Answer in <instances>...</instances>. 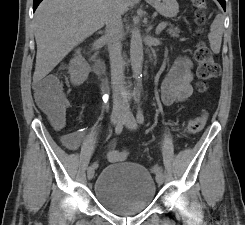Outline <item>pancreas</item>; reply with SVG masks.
Segmentation results:
<instances>
[{"mask_svg": "<svg viewBox=\"0 0 245 225\" xmlns=\"http://www.w3.org/2000/svg\"><path fill=\"white\" fill-rule=\"evenodd\" d=\"M167 32L172 37H179L180 29L179 28L170 27L169 29H167Z\"/></svg>", "mask_w": 245, "mask_h": 225, "instance_id": "obj_1", "label": "pancreas"}]
</instances>
